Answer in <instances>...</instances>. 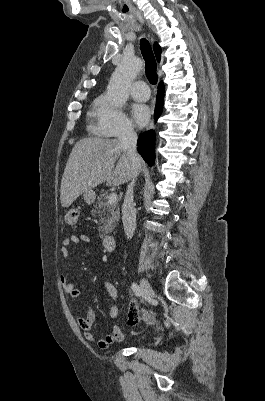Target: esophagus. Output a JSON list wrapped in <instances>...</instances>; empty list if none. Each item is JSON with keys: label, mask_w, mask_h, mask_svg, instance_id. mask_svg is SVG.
I'll list each match as a JSON object with an SVG mask.
<instances>
[{"label": "esophagus", "mask_w": 265, "mask_h": 401, "mask_svg": "<svg viewBox=\"0 0 265 401\" xmlns=\"http://www.w3.org/2000/svg\"><path fill=\"white\" fill-rule=\"evenodd\" d=\"M152 127H153V121H150V123H149L147 129H150V128H152Z\"/></svg>", "instance_id": "1"}]
</instances>
